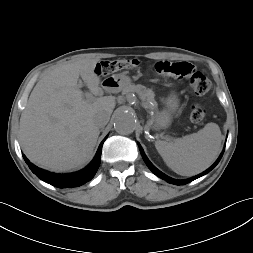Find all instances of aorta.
I'll return each mask as SVG.
<instances>
[{"instance_id": "1", "label": "aorta", "mask_w": 253, "mask_h": 253, "mask_svg": "<svg viewBox=\"0 0 253 253\" xmlns=\"http://www.w3.org/2000/svg\"><path fill=\"white\" fill-rule=\"evenodd\" d=\"M136 126L135 115L128 110L117 112L114 121V128L119 134L127 135L134 131Z\"/></svg>"}]
</instances>
